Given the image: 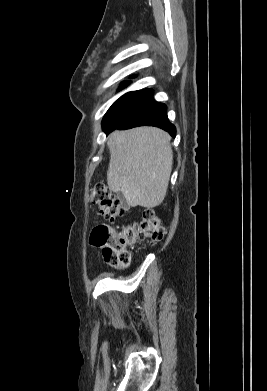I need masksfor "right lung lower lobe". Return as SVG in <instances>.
Listing matches in <instances>:
<instances>
[{"label":"right lung lower lobe","mask_w":267,"mask_h":391,"mask_svg":"<svg viewBox=\"0 0 267 391\" xmlns=\"http://www.w3.org/2000/svg\"><path fill=\"white\" fill-rule=\"evenodd\" d=\"M155 126L176 135L175 126L169 122L166 105L153 99V90L145 89L134 95L107 122L102 124L108 134L114 129H129L137 126Z\"/></svg>","instance_id":"1"}]
</instances>
